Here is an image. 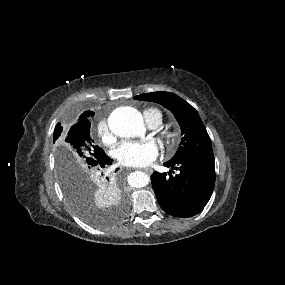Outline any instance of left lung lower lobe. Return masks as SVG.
<instances>
[{"label": "left lung lower lobe", "mask_w": 285, "mask_h": 285, "mask_svg": "<svg viewBox=\"0 0 285 285\" xmlns=\"http://www.w3.org/2000/svg\"><path fill=\"white\" fill-rule=\"evenodd\" d=\"M164 166L177 170L173 175L154 172L151 176L153 190L161 208L177 217H191L208 203L215 184L214 156H199Z\"/></svg>", "instance_id": "obj_1"}]
</instances>
